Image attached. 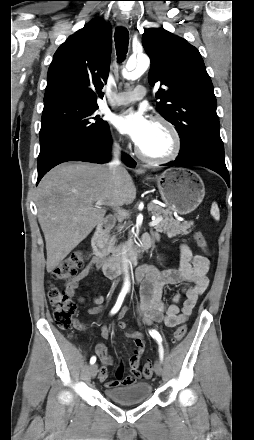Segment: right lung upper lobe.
Segmentation results:
<instances>
[{"instance_id": "right-lung-upper-lobe-1", "label": "right lung upper lobe", "mask_w": 254, "mask_h": 440, "mask_svg": "<svg viewBox=\"0 0 254 440\" xmlns=\"http://www.w3.org/2000/svg\"><path fill=\"white\" fill-rule=\"evenodd\" d=\"M111 47L110 27L99 18L69 36L50 64L44 105L59 99L97 104L109 74Z\"/></svg>"}]
</instances>
